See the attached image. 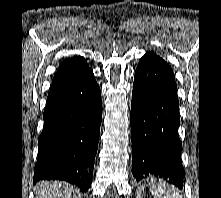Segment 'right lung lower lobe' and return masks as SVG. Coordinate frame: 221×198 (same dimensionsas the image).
<instances>
[{
    "instance_id": "1",
    "label": "right lung lower lobe",
    "mask_w": 221,
    "mask_h": 198,
    "mask_svg": "<svg viewBox=\"0 0 221 198\" xmlns=\"http://www.w3.org/2000/svg\"><path fill=\"white\" fill-rule=\"evenodd\" d=\"M38 139L34 183L65 180L87 191L91 186L102 119L101 92L90 70L49 93Z\"/></svg>"
}]
</instances>
